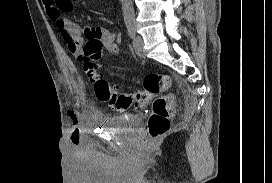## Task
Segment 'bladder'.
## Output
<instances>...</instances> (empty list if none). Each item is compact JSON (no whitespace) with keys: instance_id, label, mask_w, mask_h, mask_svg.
<instances>
[{"instance_id":"bladder-1","label":"bladder","mask_w":272,"mask_h":183,"mask_svg":"<svg viewBox=\"0 0 272 183\" xmlns=\"http://www.w3.org/2000/svg\"><path fill=\"white\" fill-rule=\"evenodd\" d=\"M98 121L107 129L125 133H136L142 123L141 117L135 114L104 116Z\"/></svg>"}]
</instances>
